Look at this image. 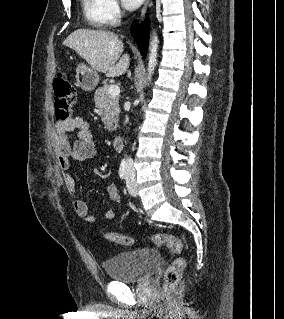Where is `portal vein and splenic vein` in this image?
<instances>
[{
	"label": "portal vein and splenic vein",
	"instance_id": "portal-vein-and-splenic-vein-1",
	"mask_svg": "<svg viewBox=\"0 0 284 319\" xmlns=\"http://www.w3.org/2000/svg\"><path fill=\"white\" fill-rule=\"evenodd\" d=\"M108 92L112 96H118L120 94V88L118 85H110Z\"/></svg>",
	"mask_w": 284,
	"mask_h": 319
}]
</instances>
